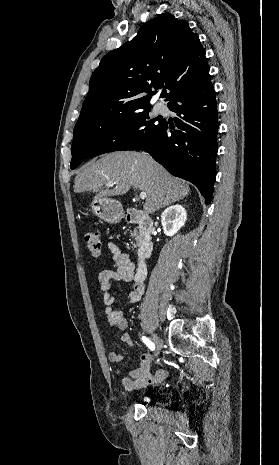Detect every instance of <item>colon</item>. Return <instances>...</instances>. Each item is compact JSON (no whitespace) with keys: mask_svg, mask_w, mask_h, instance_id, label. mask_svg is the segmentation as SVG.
Wrapping results in <instances>:
<instances>
[{"mask_svg":"<svg viewBox=\"0 0 279 465\" xmlns=\"http://www.w3.org/2000/svg\"><path fill=\"white\" fill-rule=\"evenodd\" d=\"M85 244L91 255L98 257L101 254L102 242L99 233L90 232L85 236Z\"/></svg>","mask_w":279,"mask_h":465,"instance_id":"colon-1","label":"colon"}]
</instances>
